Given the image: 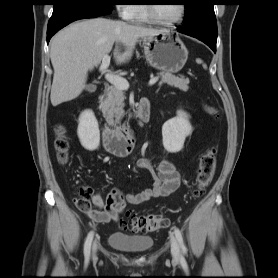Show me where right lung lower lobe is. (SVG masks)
<instances>
[{
    "instance_id": "98d812e1",
    "label": "right lung lower lobe",
    "mask_w": 278,
    "mask_h": 278,
    "mask_svg": "<svg viewBox=\"0 0 278 278\" xmlns=\"http://www.w3.org/2000/svg\"><path fill=\"white\" fill-rule=\"evenodd\" d=\"M105 15L103 13L82 9V8H70L61 11L55 17H51L48 23L47 29V42L51 39V37L59 31L61 28L65 27L69 23L84 19V18H95Z\"/></svg>"
}]
</instances>
